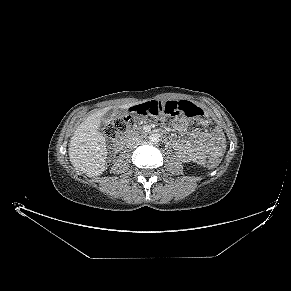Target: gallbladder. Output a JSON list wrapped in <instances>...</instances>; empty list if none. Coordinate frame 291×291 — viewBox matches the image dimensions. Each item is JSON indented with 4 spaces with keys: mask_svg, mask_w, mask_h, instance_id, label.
Listing matches in <instances>:
<instances>
[{
    "mask_svg": "<svg viewBox=\"0 0 291 291\" xmlns=\"http://www.w3.org/2000/svg\"><path fill=\"white\" fill-rule=\"evenodd\" d=\"M115 116H116V111L111 109L103 115L102 122L105 124H108L109 122L113 120Z\"/></svg>",
    "mask_w": 291,
    "mask_h": 291,
    "instance_id": "1",
    "label": "gallbladder"
}]
</instances>
